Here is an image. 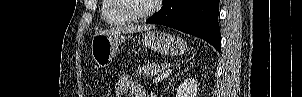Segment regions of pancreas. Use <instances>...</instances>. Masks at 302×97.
Segmentation results:
<instances>
[{
    "mask_svg": "<svg viewBox=\"0 0 302 97\" xmlns=\"http://www.w3.org/2000/svg\"><path fill=\"white\" fill-rule=\"evenodd\" d=\"M168 68L166 63H151L138 67L136 74L139 79H147L153 77L156 73H161Z\"/></svg>",
    "mask_w": 302,
    "mask_h": 97,
    "instance_id": "cf45deb5",
    "label": "pancreas"
}]
</instances>
